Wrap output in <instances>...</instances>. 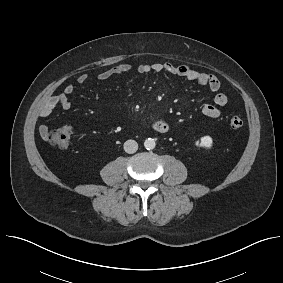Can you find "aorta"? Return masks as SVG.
<instances>
[{
    "label": "aorta",
    "instance_id": "obj_1",
    "mask_svg": "<svg viewBox=\"0 0 283 283\" xmlns=\"http://www.w3.org/2000/svg\"><path fill=\"white\" fill-rule=\"evenodd\" d=\"M156 146V143H155V140L152 139V138H148L144 141V147L147 149V150H152L154 149Z\"/></svg>",
    "mask_w": 283,
    "mask_h": 283
}]
</instances>
